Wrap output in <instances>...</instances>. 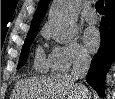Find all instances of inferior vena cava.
<instances>
[{
    "instance_id": "1",
    "label": "inferior vena cava",
    "mask_w": 115,
    "mask_h": 99,
    "mask_svg": "<svg viewBox=\"0 0 115 99\" xmlns=\"http://www.w3.org/2000/svg\"><path fill=\"white\" fill-rule=\"evenodd\" d=\"M90 62V56L87 54L80 53L75 57L73 61V69L71 71V77L73 80L77 81L85 78L90 67ZM81 88L85 94L87 92V88L83 85Z\"/></svg>"
}]
</instances>
